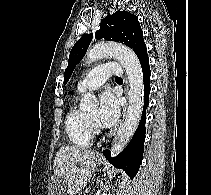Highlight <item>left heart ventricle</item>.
I'll return each instance as SVG.
<instances>
[{"instance_id":"obj_1","label":"left heart ventricle","mask_w":211,"mask_h":195,"mask_svg":"<svg viewBox=\"0 0 211 195\" xmlns=\"http://www.w3.org/2000/svg\"><path fill=\"white\" fill-rule=\"evenodd\" d=\"M91 116H92L93 118H96V117H97V113L95 112V113H93Z\"/></svg>"}]
</instances>
